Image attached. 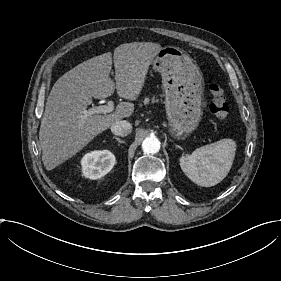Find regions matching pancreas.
Wrapping results in <instances>:
<instances>
[{"label":"pancreas","instance_id":"1","mask_svg":"<svg viewBox=\"0 0 281 281\" xmlns=\"http://www.w3.org/2000/svg\"><path fill=\"white\" fill-rule=\"evenodd\" d=\"M149 101H150V99H149L148 97H146V98L144 99L143 103H144V104H148ZM151 101H152V103H155V102H158L159 100L156 99L155 97H152Z\"/></svg>","mask_w":281,"mask_h":281}]
</instances>
